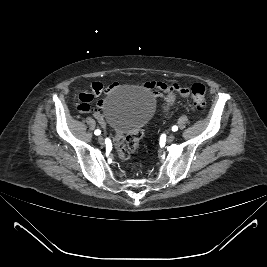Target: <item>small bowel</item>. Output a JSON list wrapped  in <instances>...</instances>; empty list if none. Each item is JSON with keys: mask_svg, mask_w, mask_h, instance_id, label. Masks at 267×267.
<instances>
[{"mask_svg": "<svg viewBox=\"0 0 267 267\" xmlns=\"http://www.w3.org/2000/svg\"><path fill=\"white\" fill-rule=\"evenodd\" d=\"M146 89L152 90V97L158 99L162 97L163 93L177 91L180 95H188V89L178 86L177 84H167L163 81H150L143 84ZM113 89V86L105 87L100 82H94L91 85V90L89 92L81 93L78 96L77 108L79 111L93 113L95 118L99 121H103V116L101 109L104 106V101L100 100L97 107L94 108L91 106V102L99 97L104 92H110Z\"/></svg>", "mask_w": 267, "mask_h": 267, "instance_id": "obj_1", "label": "small bowel"}]
</instances>
